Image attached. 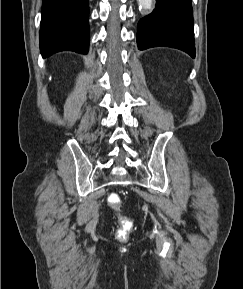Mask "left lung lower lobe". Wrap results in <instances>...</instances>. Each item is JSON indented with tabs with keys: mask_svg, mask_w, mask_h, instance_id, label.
<instances>
[{
	"mask_svg": "<svg viewBox=\"0 0 243 289\" xmlns=\"http://www.w3.org/2000/svg\"><path fill=\"white\" fill-rule=\"evenodd\" d=\"M191 0H157L155 10L138 22L140 50L173 47L195 57Z\"/></svg>",
	"mask_w": 243,
	"mask_h": 289,
	"instance_id": "obj_1",
	"label": "left lung lower lobe"
}]
</instances>
